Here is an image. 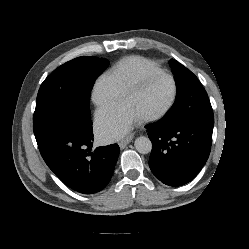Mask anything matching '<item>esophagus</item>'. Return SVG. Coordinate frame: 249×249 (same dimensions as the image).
<instances>
[{"instance_id": "1", "label": "esophagus", "mask_w": 249, "mask_h": 249, "mask_svg": "<svg viewBox=\"0 0 249 249\" xmlns=\"http://www.w3.org/2000/svg\"><path fill=\"white\" fill-rule=\"evenodd\" d=\"M134 135L130 134L125 139L121 140L118 144L121 149L125 148L133 139Z\"/></svg>"}]
</instances>
